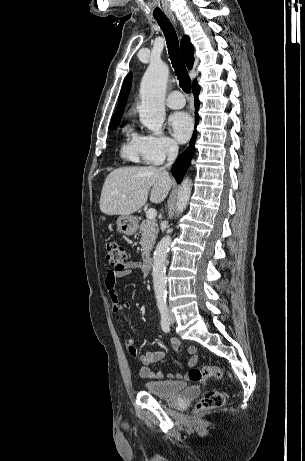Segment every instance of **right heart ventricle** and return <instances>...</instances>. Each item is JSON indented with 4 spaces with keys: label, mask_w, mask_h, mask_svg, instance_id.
<instances>
[{
    "label": "right heart ventricle",
    "mask_w": 305,
    "mask_h": 461,
    "mask_svg": "<svg viewBox=\"0 0 305 461\" xmlns=\"http://www.w3.org/2000/svg\"><path fill=\"white\" fill-rule=\"evenodd\" d=\"M125 140L121 147L123 158L139 163L145 160L141 150L140 136L129 126L124 128Z\"/></svg>",
    "instance_id": "right-heart-ventricle-1"
}]
</instances>
